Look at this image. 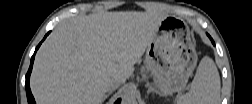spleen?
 <instances>
[{
    "instance_id": "spleen-1",
    "label": "spleen",
    "mask_w": 252,
    "mask_h": 104,
    "mask_svg": "<svg viewBox=\"0 0 252 104\" xmlns=\"http://www.w3.org/2000/svg\"><path fill=\"white\" fill-rule=\"evenodd\" d=\"M220 76L214 61L205 56L186 94L177 98L179 104H217L220 100Z\"/></svg>"
}]
</instances>
